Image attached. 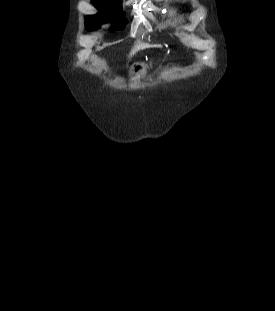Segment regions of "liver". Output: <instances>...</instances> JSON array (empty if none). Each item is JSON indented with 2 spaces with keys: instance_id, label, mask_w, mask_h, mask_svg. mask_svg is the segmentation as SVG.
<instances>
[{
  "instance_id": "6515ba94",
  "label": "liver",
  "mask_w": 275,
  "mask_h": 311,
  "mask_svg": "<svg viewBox=\"0 0 275 311\" xmlns=\"http://www.w3.org/2000/svg\"><path fill=\"white\" fill-rule=\"evenodd\" d=\"M145 46L146 47H149L150 45L149 44H145ZM142 48V44L141 43H138V44H136L134 47H133V49H132V51H131V55H133V54H135L137 51H139L140 49Z\"/></svg>"
}]
</instances>
